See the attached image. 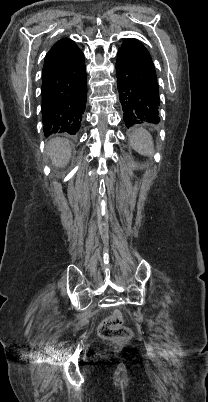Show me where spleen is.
<instances>
[{"mask_svg": "<svg viewBox=\"0 0 208 402\" xmlns=\"http://www.w3.org/2000/svg\"><path fill=\"white\" fill-rule=\"evenodd\" d=\"M130 146L142 156H152L154 152L152 136L144 128L134 130L130 136Z\"/></svg>", "mask_w": 208, "mask_h": 402, "instance_id": "obj_1", "label": "spleen"}]
</instances>
